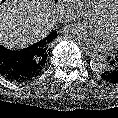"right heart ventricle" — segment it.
<instances>
[{"label":"right heart ventricle","mask_w":118,"mask_h":118,"mask_svg":"<svg viewBox=\"0 0 118 118\" xmlns=\"http://www.w3.org/2000/svg\"><path fill=\"white\" fill-rule=\"evenodd\" d=\"M100 8L107 6L115 0H93Z\"/></svg>","instance_id":"obj_1"}]
</instances>
